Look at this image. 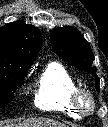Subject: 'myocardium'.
I'll return each mask as SVG.
<instances>
[{
	"label": "myocardium",
	"mask_w": 108,
	"mask_h": 127,
	"mask_svg": "<svg viewBox=\"0 0 108 127\" xmlns=\"http://www.w3.org/2000/svg\"><path fill=\"white\" fill-rule=\"evenodd\" d=\"M74 107L81 114H90L95 109V99L93 94L84 88H78L73 93L72 97Z\"/></svg>",
	"instance_id": "obj_1"
}]
</instances>
